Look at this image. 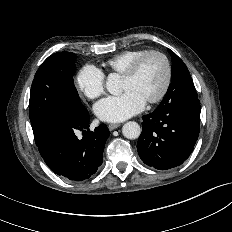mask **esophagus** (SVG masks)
Wrapping results in <instances>:
<instances>
[{"label": "esophagus", "mask_w": 232, "mask_h": 232, "mask_svg": "<svg viewBox=\"0 0 232 232\" xmlns=\"http://www.w3.org/2000/svg\"><path fill=\"white\" fill-rule=\"evenodd\" d=\"M119 126H120V124H118V123H111V124H109L108 128L110 131H112V130L118 128Z\"/></svg>", "instance_id": "obj_1"}]
</instances>
